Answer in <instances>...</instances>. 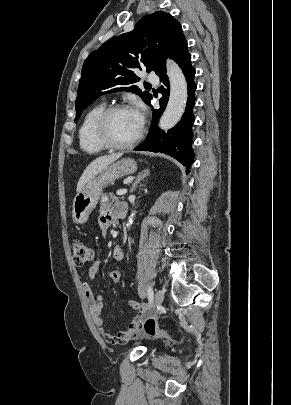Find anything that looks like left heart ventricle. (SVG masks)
Here are the masks:
<instances>
[{"label":"left heart ventricle","instance_id":"1","mask_svg":"<svg viewBox=\"0 0 291 405\" xmlns=\"http://www.w3.org/2000/svg\"><path fill=\"white\" fill-rule=\"evenodd\" d=\"M140 128L141 126L132 109L115 113L109 123L110 136L118 143L131 141L138 134Z\"/></svg>","mask_w":291,"mask_h":405}]
</instances>
